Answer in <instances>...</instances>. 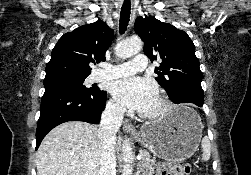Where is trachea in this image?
<instances>
[{"mask_svg": "<svg viewBox=\"0 0 251 175\" xmlns=\"http://www.w3.org/2000/svg\"><path fill=\"white\" fill-rule=\"evenodd\" d=\"M131 13V3L130 0H125V2L122 5L121 12H120V24H119V32L125 33L127 30V26L129 23Z\"/></svg>", "mask_w": 251, "mask_h": 175, "instance_id": "obj_1", "label": "trachea"}]
</instances>
